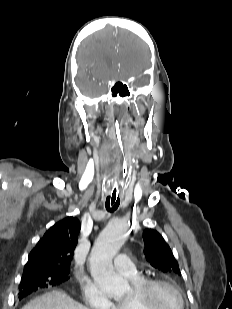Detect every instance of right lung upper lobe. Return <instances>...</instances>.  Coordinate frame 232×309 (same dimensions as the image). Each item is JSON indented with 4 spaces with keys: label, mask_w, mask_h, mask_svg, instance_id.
Segmentation results:
<instances>
[{
    "label": "right lung upper lobe",
    "mask_w": 232,
    "mask_h": 309,
    "mask_svg": "<svg viewBox=\"0 0 232 309\" xmlns=\"http://www.w3.org/2000/svg\"><path fill=\"white\" fill-rule=\"evenodd\" d=\"M80 229V222L75 217H67L54 224L30 252L23 274L37 271L69 274Z\"/></svg>",
    "instance_id": "cb5924a9"
}]
</instances>
